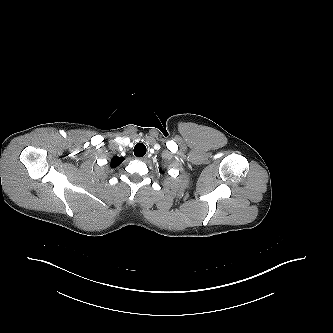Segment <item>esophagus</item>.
Returning <instances> with one entry per match:
<instances>
[{"label": "esophagus", "mask_w": 333, "mask_h": 333, "mask_svg": "<svg viewBox=\"0 0 333 333\" xmlns=\"http://www.w3.org/2000/svg\"><path fill=\"white\" fill-rule=\"evenodd\" d=\"M137 159L145 161L147 159V156H143V157H138Z\"/></svg>", "instance_id": "1"}]
</instances>
